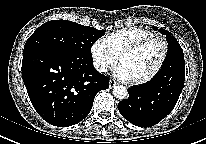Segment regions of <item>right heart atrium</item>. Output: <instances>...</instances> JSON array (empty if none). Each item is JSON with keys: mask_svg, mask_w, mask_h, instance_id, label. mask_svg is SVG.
<instances>
[{"mask_svg": "<svg viewBox=\"0 0 206 144\" xmlns=\"http://www.w3.org/2000/svg\"><path fill=\"white\" fill-rule=\"evenodd\" d=\"M90 53L94 67L101 73L107 72L118 60V56L111 50L105 39L94 41Z\"/></svg>", "mask_w": 206, "mask_h": 144, "instance_id": "1", "label": "right heart atrium"}]
</instances>
